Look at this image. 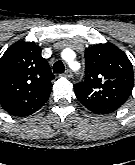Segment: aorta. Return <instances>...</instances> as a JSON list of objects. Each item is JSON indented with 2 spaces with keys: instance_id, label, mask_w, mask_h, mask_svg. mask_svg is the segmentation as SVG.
I'll use <instances>...</instances> for the list:
<instances>
[{
  "instance_id": "1",
  "label": "aorta",
  "mask_w": 135,
  "mask_h": 165,
  "mask_svg": "<svg viewBox=\"0 0 135 165\" xmlns=\"http://www.w3.org/2000/svg\"><path fill=\"white\" fill-rule=\"evenodd\" d=\"M71 53H72V52L70 51L69 54H68L67 56L64 57V59L67 60V61H70V54H71Z\"/></svg>"
}]
</instances>
